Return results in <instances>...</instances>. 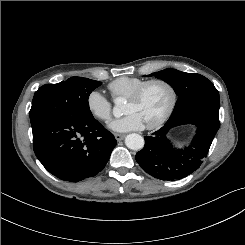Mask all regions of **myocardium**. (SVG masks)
I'll return each instance as SVG.
<instances>
[{"instance_id":"f54148a6","label":"myocardium","mask_w":245,"mask_h":245,"mask_svg":"<svg viewBox=\"0 0 245 245\" xmlns=\"http://www.w3.org/2000/svg\"><path fill=\"white\" fill-rule=\"evenodd\" d=\"M154 84H159L167 88V90L170 93V103L165 113L158 120L146 125V128L148 130L156 129L162 126L171 117V115L173 114L176 108L177 102H178V93H177L175 86L171 82L164 80V79L147 80L146 82L141 84L132 94H130L127 97V100L132 101V102L139 101L142 98L146 89L149 86L154 85Z\"/></svg>"}]
</instances>
